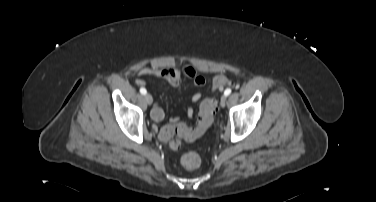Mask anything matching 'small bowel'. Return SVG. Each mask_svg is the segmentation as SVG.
I'll return each mask as SVG.
<instances>
[{
	"label": "small bowel",
	"mask_w": 376,
	"mask_h": 202,
	"mask_svg": "<svg viewBox=\"0 0 376 202\" xmlns=\"http://www.w3.org/2000/svg\"><path fill=\"white\" fill-rule=\"evenodd\" d=\"M139 78L136 79V84L138 86H145L146 81L143 77L154 76L158 78L165 79L173 87H179L182 82V77H188L192 79L195 86V92L191 96L193 102H197L201 98V90L205 84V79L200 76L196 70L191 66H184L182 69L177 68H162V67H152V68H142L138 71ZM143 88V87H141ZM187 117H193L194 109L188 108L186 110ZM164 111L161 106L155 102L151 108V117L156 122H161L164 119ZM170 122L172 124H177L180 122L178 117H171Z\"/></svg>",
	"instance_id": "small-bowel-1"
}]
</instances>
